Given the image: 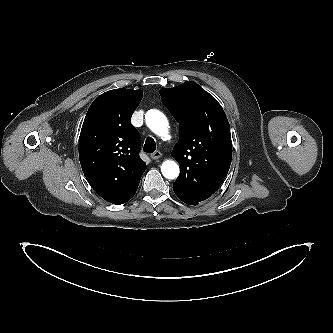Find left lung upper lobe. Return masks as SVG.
Masks as SVG:
<instances>
[{
    "mask_svg": "<svg viewBox=\"0 0 333 333\" xmlns=\"http://www.w3.org/2000/svg\"><path fill=\"white\" fill-rule=\"evenodd\" d=\"M159 92L180 124V139L172 156L181 171L173 189L204 201L219 189L230 168L232 142L226 114L218 101L195 82Z\"/></svg>",
    "mask_w": 333,
    "mask_h": 333,
    "instance_id": "5c2ea615",
    "label": "left lung upper lobe"
}]
</instances>
